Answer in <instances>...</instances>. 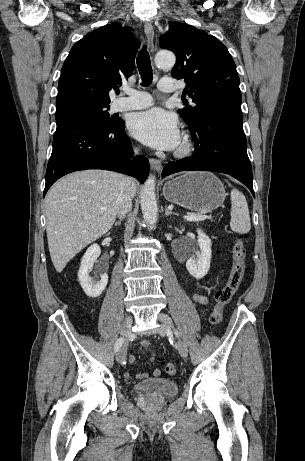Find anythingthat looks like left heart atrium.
<instances>
[{
	"label": "left heart atrium",
	"mask_w": 305,
	"mask_h": 461,
	"mask_svg": "<svg viewBox=\"0 0 305 461\" xmlns=\"http://www.w3.org/2000/svg\"><path fill=\"white\" fill-rule=\"evenodd\" d=\"M132 135L150 147L171 150L180 143L177 118L161 108L135 114L129 124Z\"/></svg>",
	"instance_id": "obj_1"
}]
</instances>
